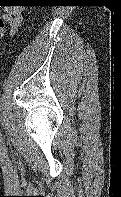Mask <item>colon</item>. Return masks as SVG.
I'll return each mask as SVG.
<instances>
[{"label":"colon","mask_w":121,"mask_h":197,"mask_svg":"<svg viewBox=\"0 0 121 197\" xmlns=\"http://www.w3.org/2000/svg\"><path fill=\"white\" fill-rule=\"evenodd\" d=\"M4 34H5V21L0 16V40L4 37Z\"/></svg>","instance_id":"5ec220e1"}]
</instances>
